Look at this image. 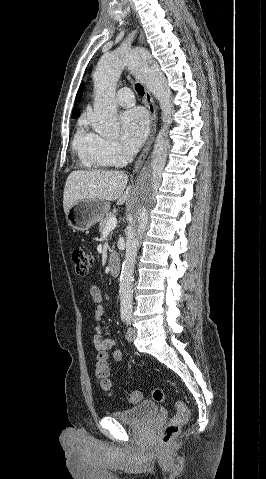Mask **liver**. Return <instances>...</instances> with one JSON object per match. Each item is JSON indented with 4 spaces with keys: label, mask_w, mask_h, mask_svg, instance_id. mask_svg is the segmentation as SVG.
Segmentation results:
<instances>
[{
    "label": "liver",
    "mask_w": 266,
    "mask_h": 479,
    "mask_svg": "<svg viewBox=\"0 0 266 479\" xmlns=\"http://www.w3.org/2000/svg\"><path fill=\"white\" fill-rule=\"evenodd\" d=\"M128 176L123 171H73L67 177L63 208L65 214L79 200L96 199L116 201L124 204L130 198L131 186L127 187Z\"/></svg>",
    "instance_id": "liver-1"
}]
</instances>
